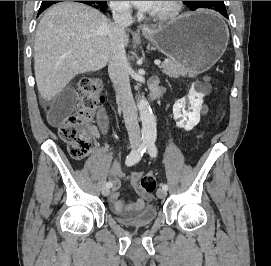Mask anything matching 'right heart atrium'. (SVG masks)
<instances>
[{"instance_id":"obj_1","label":"right heart atrium","mask_w":271,"mask_h":266,"mask_svg":"<svg viewBox=\"0 0 271 266\" xmlns=\"http://www.w3.org/2000/svg\"><path fill=\"white\" fill-rule=\"evenodd\" d=\"M112 10L120 16H129L131 7L128 1H110Z\"/></svg>"}]
</instances>
